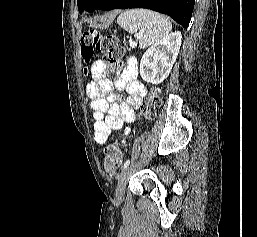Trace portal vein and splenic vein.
Segmentation results:
<instances>
[{"label": "portal vein and splenic vein", "mask_w": 257, "mask_h": 237, "mask_svg": "<svg viewBox=\"0 0 257 237\" xmlns=\"http://www.w3.org/2000/svg\"><path fill=\"white\" fill-rule=\"evenodd\" d=\"M137 46V43L135 41H130V47L134 48Z\"/></svg>", "instance_id": "18ae733b"}]
</instances>
